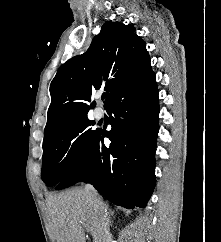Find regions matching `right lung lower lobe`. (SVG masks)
Here are the masks:
<instances>
[{"label": "right lung lower lobe", "mask_w": 221, "mask_h": 242, "mask_svg": "<svg viewBox=\"0 0 221 242\" xmlns=\"http://www.w3.org/2000/svg\"><path fill=\"white\" fill-rule=\"evenodd\" d=\"M112 129L98 130L80 161L56 186L89 182L110 202L144 208L155 187L159 99L152 70L121 89L106 107ZM104 137L111 144L105 146Z\"/></svg>", "instance_id": "obj_1"}]
</instances>
